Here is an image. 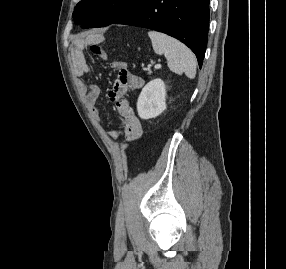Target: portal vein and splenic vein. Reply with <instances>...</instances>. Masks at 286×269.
<instances>
[{"label":"portal vein and splenic vein","mask_w":286,"mask_h":269,"mask_svg":"<svg viewBox=\"0 0 286 269\" xmlns=\"http://www.w3.org/2000/svg\"><path fill=\"white\" fill-rule=\"evenodd\" d=\"M155 68H156V69H160V68H161V64H156V65H155Z\"/></svg>","instance_id":"portal-vein-and-splenic-vein-1"}]
</instances>
